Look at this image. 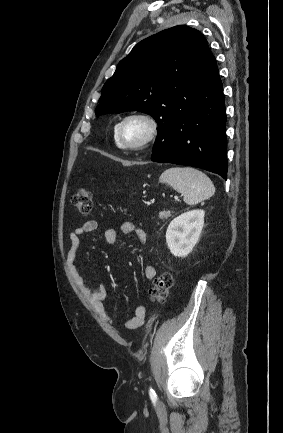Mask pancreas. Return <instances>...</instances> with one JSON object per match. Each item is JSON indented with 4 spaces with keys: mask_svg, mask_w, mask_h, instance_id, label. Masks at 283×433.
Masks as SVG:
<instances>
[{
    "mask_svg": "<svg viewBox=\"0 0 283 433\" xmlns=\"http://www.w3.org/2000/svg\"><path fill=\"white\" fill-rule=\"evenodd\" d=\"M168 217H171L170 210H161V212H159V219H168Z\"/></svg>",
    "mask_w": 283,
    "mask_h": 433,
    "instance_id": "1",
    "label": "pancreas"
}]
</instances>
